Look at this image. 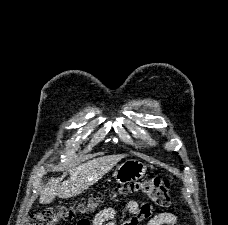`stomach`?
<instances>
[{"label": "stomach", "mask_w": 228, "mask_h": 225, "mask_svg": "<svg viewBox=\"0 0 228 225\" xmlns=\"http://www.w3.org/2000/svg\"><path fill=\"white\" fill-rule=\"evenodd\" d=\"M147 171L146 165L136 161V159H129L122 165H119L115 171V181L120 185H126V183H133V181H139L145 177Z\"/></svg>", "instance_id": "obj_1"}]
</instances>
